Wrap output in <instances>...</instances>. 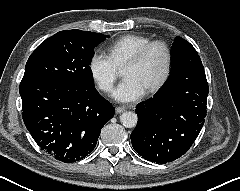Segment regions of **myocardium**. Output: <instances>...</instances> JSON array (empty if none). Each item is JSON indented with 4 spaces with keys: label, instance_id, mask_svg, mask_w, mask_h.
I'll return each instance as SVG.
<instances>
[{
    "label": "myocardium",
    "instance_id": "myocardium-1",
    "mask_svg": "<svg viewBox=\"0 0 240 191\" xmlns=\"http://www.w3.org/2000/svg\"><path fill=\"white\" fill-rule=\"evenodd\" d=\"M155 46H161L165 50L166 63L161 79L146 91L147 95H152L160 91L165 86L170 77L173 62V55L170 45L164 40H152L140 48L123 66L124 68L126 66H135L140 64L149 53V51Z\"/></svg>",
    "mask_w": 240,
    "mask_h": 191
}]
</instances>
